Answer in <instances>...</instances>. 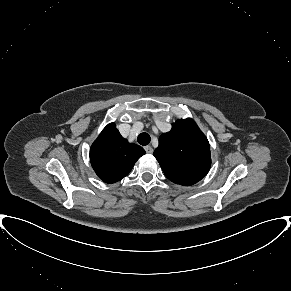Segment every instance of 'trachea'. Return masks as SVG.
Segmentation results:
<instances>
[{
	"instance_id": "obj_1",
	"label": "trachea",
	"mask_w": 291,
	"mask_h": 291,
	"mask_svg": "<svg viewBox=\"0 0 291 291\" xmlns=\"http://www.w3.org/2000/svg\"><path fill=\"white\" fill-rule=\"evenodd\" d=\"M137 141L139 144L145 146L148 145L150 142V136L149 134L143 132L141 134H139V136L137 137Z\"/></svg>"
}]
</instances>
